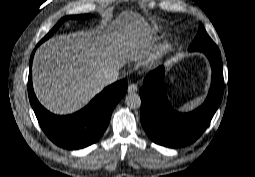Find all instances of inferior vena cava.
<instances>
[{
    "mask_svg": "<svg viewBox=\"0 0 255 177\" xmlns=\"http://www.w3.org/2000/svg\"><path fill=\"white\" fill-rule=\"evenodd\" d=\"M118 76H119L118 70L114 67H111L102 73L100 80H101L102 84L108 85V84H111V83L117 81Z\"/></svg>",
    "mask_w": 255,
    "mask_h": 177,
    "instance_id": "inferior-vena-cava-1",
    "label": "inferior vena cava"
}]
</instances>
